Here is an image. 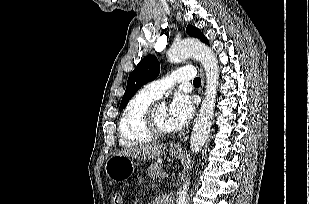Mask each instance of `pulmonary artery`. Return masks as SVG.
Wrapping results in <instances>:
<instances>
[{"label":"pulmonary artery","mask_w":309,"mask_h":204,"mask_svg":"<svg viewBox=\"0 0 309 204\" xmlns=\"http://www.w3.org/2000/svg\"><path fill=\"white\" fill-rule=\"evenodd\" d=\"M196 77V71L192 67H183L173 71L168 76L154 80L146 84L143 90L155 98H160L162 94L172 85L193 80Z\"/></svg>","instance_id":"obj_1"}]
</instances>
